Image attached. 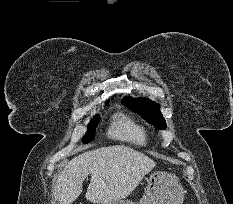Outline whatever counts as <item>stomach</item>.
<instances>
[{
	"instance_id": "stomach-1",
	"label": "stomach",
	"mask_w": 233,
	"mask_h": 204,
	"mask_svg": "<svg viewBox=\"0 0 233 204\" xmlns=\"http://www.w3.org/2000/svg\"><path fill=\"white\" fill-rule=\"evenodd\" d=\"M147 187L139 204H182L184 190L179 180L172 174L156 171L144 176ZM101 204H135L131 200H118L116 202Z\"/></svg>"
}]
</instances>
